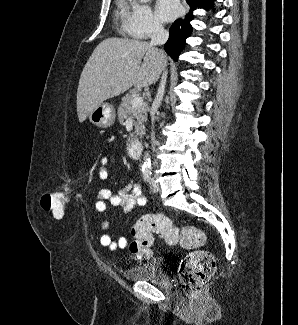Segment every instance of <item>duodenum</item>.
Here are the masks:
<instances>
[{
	"mask_svg": "<svg viewBox=\"0 0 298 325\" xmlns=\"http://www.w3.org/2000/svg\"><path fill=\"white\" fill-rule=\"evenodd\" d=\"M128 152L132 158H139L143 152V144L140 141H131L128 145Z\"/></svg>",
	"mask_w": 298,
	"mask_h": 325,
	"instance_id": "1",
	"label": "duodenum"
}]
</instances>
